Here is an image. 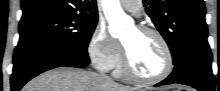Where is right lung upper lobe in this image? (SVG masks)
<instances>
[{"instance_id": "obj_1", "label": "right lung upper lobe", "mask_w": 220, "mask_h": 91, "mask_svg": "<svg viewBox=\"0 0 220 91\" xmlns=\"http://www.w3.org/2000/svg\"><path fill=\"white\" fill-rule=\"evenodd\" d=\"M21 8L20 24L57 14L98 15L95 0H22Z\"/></svg>"}]
</instances>
